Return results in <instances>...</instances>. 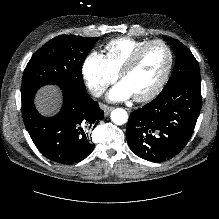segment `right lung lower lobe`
I'll return each instance as SVG.
<instances>
[{
  "label": "right lung lower lobe",
  "instance_id": "obj_1",
  "mask_svg": "<svg viewBox=\"0 0 219 219\" xmlns=\"http://www.w3.org/2000/svg\"><path fill=\"white\" fill-rule=\"evenodd\" d=\"M63 104L54 117L41 116L34 106V95L22 96V116L38 150L48 159L72 164L89 155L95 144L89 130L104 118V112L86 90L64 86Z\"/></svg>",
  "mask_w": 219,
  "mask_h": 219
}]
</instances>
